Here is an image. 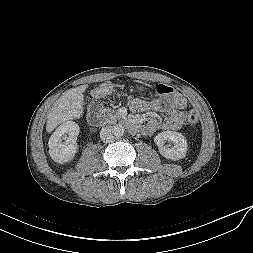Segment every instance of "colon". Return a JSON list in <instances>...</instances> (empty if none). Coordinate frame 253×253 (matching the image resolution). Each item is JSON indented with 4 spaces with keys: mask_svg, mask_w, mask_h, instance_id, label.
I'll list each match as a JSON object with an SVG mask.
<instances>
[{
    "mask_svg": "<svg viewBox=\"0 0 253 253\" xmlns=\"http://www.w3.org/2000/svg\"><path fill=\"white\" fill-rule=\"evenodd\" d=\"M109 90L108 86H103L100 87L99 89H97L94 93H93V98H98L100 97L102 94L106 93ZM156 93L162 96H168L171 95L174 92V89L169 86V85H165V84H158L155 88ZM188 123L192 126H195L198 123V114L194 111H191L188 114L187 117Z\"/></svg>",
    "mask_w": 253,
    "mask_h": 253,
    "instance_id": "obj_1",
    "label": "colon"
}]
</instances>
